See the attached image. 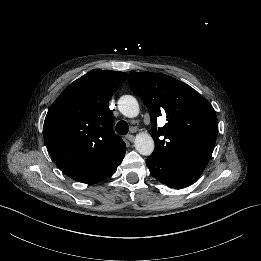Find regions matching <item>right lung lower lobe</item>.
I'll use <instances>...</instances> for the list:
<instances>
[{
    "instance_id": "98d812e1",
    "label": "right lung lower lobe",
    "mask_w": 261,
    "mask_h": 261,
    "mask_svg": "<svg viewBox=\"0 0 261 261\" xmlns=\"http://www.w3.org/2000/svg\"><path fill=\"white\" fill-rule=\"evenodd\" d=\"M119 164H120V163H119ZM119 164H118V165H119ZM118 165H116L114 168H112V169L109 170L108 172L104 173L103 175L99 176L96 180L92 181L91 183L100 182V181H102V180L108 178L109 176H111V175L115 172V170H116V168H117ZM91 183H88V184H91Z\"/></svg>"
}]
</instances>
